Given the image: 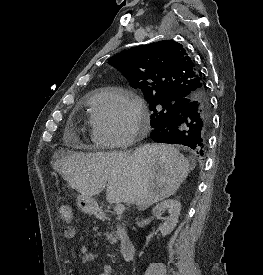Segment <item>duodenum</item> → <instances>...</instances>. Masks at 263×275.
Wrapping results in <instances>:
<instances>
[{
  "instance_id": "410a0bca",
  "label": "duodenum",
  "mask_w": 263,
  "mask_h": 275,
  "mask_svg": "<svg viewBox=\"0 0 263 275\" xmlns=\"http://www.w3.org/2000/svg\"><path fill=\"white\" fill-rule=\"evenodd\" d=\"M120 253L124 260H130L133 258L135 254V245L129 236L126 228V224L124 222H120Z\"/></svg>"
}]
</instances>
